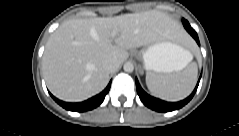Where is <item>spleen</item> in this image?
Returning <instances> with one entry per match:
<instances>
[{
    "instance_id": "1",
    "label": "spleen",
    "mask_w": 239,
    "mask_h": 136,
    "mask_svg": "<svg viewBox=\"0 0 239 136\" xmlns=\"http://www.w3.org/2000/svg\"><path fill=\"white\" fill-rule=\"evenodd\" d=\"M191 60L192 55L189 53L184 68ZM197 73L196 63H191L183 71L172 74L148 72L146 85L153 95L167 101H178L191 93L197 81Z\"/></svg>"
}]
</instances>
